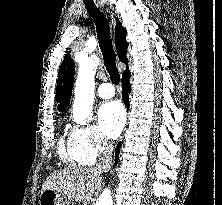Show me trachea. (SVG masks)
Here are the masks:
<instances>
[{
	"instance_id": "trachea-1",
	"label": "trachea",
	"mask_w": 222,
	"mask_h": 205,
	"mask_svg": "<svg viewBox=\"0 0 222 205\" xmlns=\"http://www.w3.org/2000/svg\"><path fill=\"white\" fill-rule=\"evenodd\" d=\"M86 8L96 25L99 46L104 58L106 70L110 75L112 83L118 85L120 82V74L116 66V54L111 40L109 21L104 16V13L97 7L87 6Z\"/></svg>"
}]
</instances>
